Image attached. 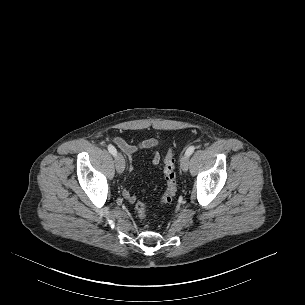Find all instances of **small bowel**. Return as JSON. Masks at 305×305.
<instances>
[{"label": "small bowel", "mask_w": 305, "mask_h": 305, "mask_svg": "<svg viewBox=\"0 0 305 305\" xmlns=\"http://www.w3.org/2000/svg\"><path fill=\"white\" fill-rule=\"evenodd\" d=\"M113 141L120 148V150L128 156L130 161H132L134 155L137 154L139 151L153 149L158 144V141L154 138H147L136 144H130L120 137H114ZM160 160H161L160 154L156 151H152L151 153L152 165L153 166L159 165ZM131 168L132 166H130V169ZM123 196L130 203H134L136 200V196L127 189L123 191Z\"/></svg>", "instance_id": "1"}]
</instances>
